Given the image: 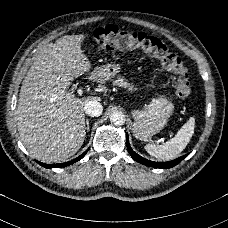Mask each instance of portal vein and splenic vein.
<instances>
[{"label":"portal vein and splenic vein","mask_w":228,"mask_h":228,"mask_svg":"<svg viewBox=\"0 0 228 228\" xmlns=\"http://www.w3.org/2000/svg\"><path fill=\"white\" fill-rule=\"evenodd\" d=\"M74 91L76 92V94H77L78 96H83V95H84V90H83L81 87H79V86H76V87L74 88Z\"/></svg>","instance_id":"1"}]
</instances>
